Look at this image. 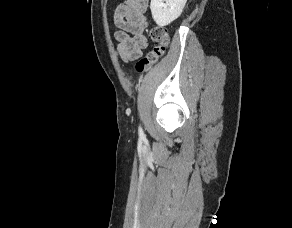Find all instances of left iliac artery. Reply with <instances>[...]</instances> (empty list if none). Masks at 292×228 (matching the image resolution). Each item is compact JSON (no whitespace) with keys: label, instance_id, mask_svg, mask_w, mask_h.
<instances>
[{"label":"left iliac artery","instance_id":"obj_1","mask_svg":"<svg viewBox=\"0 0 292 228\" xmlns=\"http://www.w3.org/2000/svg\"><path fill=\"white\" fill-rule=\"evenodd\" d=\"M139 136H144V132L141 126H139Z\"/></svg>","mask_w":292,"mask_h":228}]
</instances>
